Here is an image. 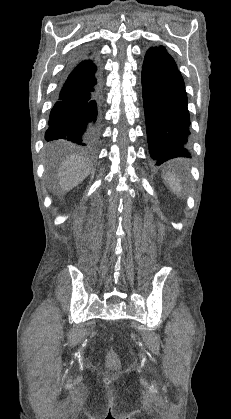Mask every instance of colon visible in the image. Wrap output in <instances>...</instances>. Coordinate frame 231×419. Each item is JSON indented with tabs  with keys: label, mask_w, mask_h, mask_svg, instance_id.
Wrapping results in <instances>:
<instances>
[{
	"label": "colon",
	"mask_w": 231,
	"mask_h": 419,
	"mask_svg": "<svg viewBox=\"0 0 231 419\" xmlns=\"http://www.w3.org/2000/svg\"><path fill=\"white\" fill-rule=\"evenodd\" d=\"M107 362L109 366L114 367L118 363V358L114 354H111L109 355Z\"/></svg>",
	"instance_id": "5ec220e1"
}]
</instances>
